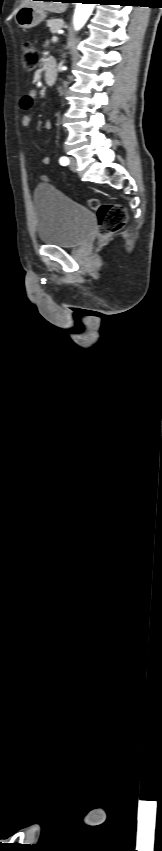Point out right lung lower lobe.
<instances>
[{
    "label": "right lung lower lobe",
    "mask_w": 162,
    "mask_h": 851,
    "mask_svg": "<svg viewBox=\"0 0 162 851\" xmlns=\"http://www.w3.org/2000/svg\"><path fill=\"white\" fill-rule=\"evenodd\" d=\"M44 1H54V0H44ZM70 0H64L63 2H69Z\"/></svg>",
    "instance_id": "obj_1"
}]
</instances>
